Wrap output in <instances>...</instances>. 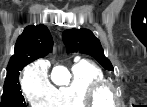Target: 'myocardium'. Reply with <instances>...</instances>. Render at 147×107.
Here are the masks:
<instances>
[{
	"instance_id": "myocardium-1",
	"label": "myocardium",
	"mask_w": 147,
	"mask_h": 107,
	"mask_svg": "<svg viewBox=\"0 0 147 107\" xmlns=\"http://www.w3.org/2000/svg\"><path fill=\"white\" fill-rule=\"evenodd\" d=\"M103 92H109L111 95V103L110 104H115L117 103V93L116 89L113 84H111L108 81H98L93 83L87 90L86 93V104L88 107H107L108 104H103L99 100V96ZM109 104V105H110Z\"/></svg>"
}]
</instances>
